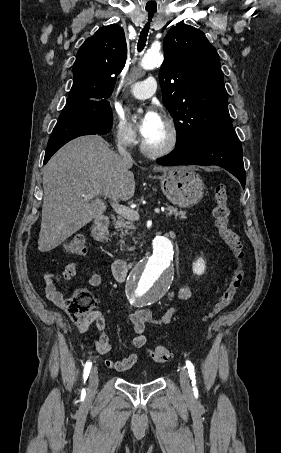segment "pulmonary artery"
Returning a JSON list of instances; mask_svg holds the SVG:
<instances>
[{"label":"pulmonary artery","mask_w":281,"mask_h":453,"mask_svg":"<svg viewBox=\"0 0 281 453\" xmlns=\"http://www.w3.org/2000/svg\"><path fill=\"white\" fill-rule=\"evenodd\" d=\"M157 86V81L153 77H148L143 81L136 82L132 87H131V93L136 97V98H149L153 95L155 92V88ZM153 87V89H151Z\"/></svg>","instance_id":"pulmonary-artery-1"}]
</instances>
